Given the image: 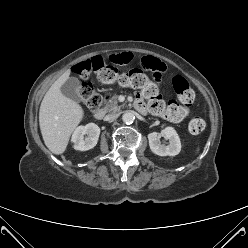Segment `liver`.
I'll return each mask as SVG.
<instances>
[{"label": "liver", "instance_id": "obj_1", "mask_svg": "<svg viewBox=\"0 0 248 248\" xmlns=\"http://www.w3.org/2000/svg\"><path fill=\"white\" fill-rule=\"evenodd\" d=\"M70 72H64L51 85L39 110V125L44 143L56 155L65 152L71 134L84 116L83 108L60 91V87L69 79Z\"/></svg>", "mask_w": 248, "mask_h": 248}]
</instances>
